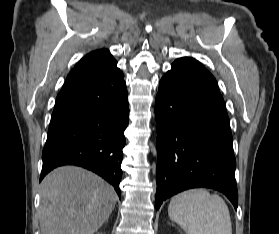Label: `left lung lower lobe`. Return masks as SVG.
<instances>
[{"label": "left lung lower lobe", "mask_w": 279, "mask_h": 234, "mask_svg": "<svg viewBox=\"0 0 279 234\" xmlns=\"http://www.w3.org/2000/svg\"><path fill=\"white\" fill-rule=\"evenodd\" d=\"M156 209L183 190L208 187L237 210L236 161L228 114L217 82L190 57L177 59L159 83Z\"/></svg>", "instance_id": "0a47b994"}]
</instances>
